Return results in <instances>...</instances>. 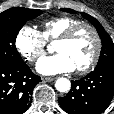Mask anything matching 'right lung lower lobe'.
Masks as SVG:
<instances>
[{
    "label": "right lung lower lobe",
    "mask_w": 114,
    "mask_h": 114,
    "mask_svg": "<svg viewBox=\"0 0 114 114\" xmlns=\"http://www.w3.org/2000/svg\"><path fill=\"white\" fill-rule=\"evenodd\" d=\"M40 81L25 62L0 65V114H22L31 104V92Z\"/></svg>",
    "instance_id": "1"
}]
</instances>
